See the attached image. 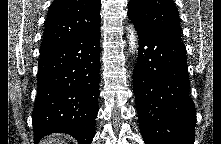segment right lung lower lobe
<instances>
[{"label":"right lung lower lobe","instance_id":"1","mask_svg":"<svg viewBox=\"0 0 221 144\" xmlns=\"http://www.w3.org/2000/svg\"><path fill=\"white\" fill-rule=\"evenodd\" d=\"M100 29L40 53L32 113L37 143L51 133H68L91 144L98 113Z\"/></svg>","mask_w":221,"mask_h":144}]
</instances>
